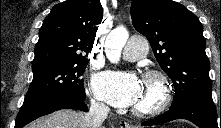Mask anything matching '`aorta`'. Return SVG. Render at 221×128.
<instances>
[{"instance_id":"1","label":"aorta","mask_w":221,"mask_h":128,"mask_svg":"<svg viewBox=\"0 0 221 128\" xmlns=\"http://www.w3.org/2000/svg\"><path fill=\"white\" fill-rule=\"evenodd\" d=\"M129 38L127 29L123 26L113 29L107 36L104 49L109 61L118 63L121 52Z\"/></svg>"}]
</instances>
